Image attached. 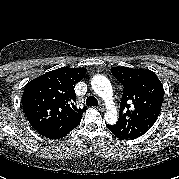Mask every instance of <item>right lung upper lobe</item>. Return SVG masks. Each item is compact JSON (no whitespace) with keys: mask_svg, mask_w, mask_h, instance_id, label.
I'll return each instance as SVG.
<instances>
[{"mask_svg":"<svg viewBox=\"0 0 179 179\" xmlns=\"http://www.w3.org/2000/svg\"><path fill=\"white\" fill-rule=\"evenodd\" d=\"M85 74L86 68L63 67L28 82L23 92V110L41 135L60 139L79 125L87 107H76L74 86Z\"/></svg>","mask_w":179,"mask_h":179,"instance_id":"cb5924a9","label":"right lung upper lobe"}]
</instances>
